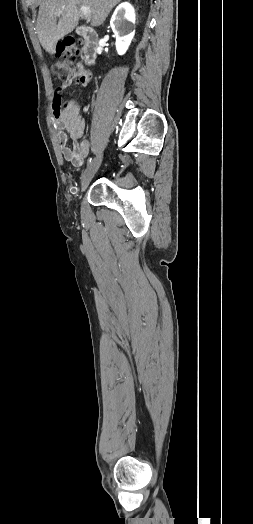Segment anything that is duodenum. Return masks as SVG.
<instances>
[{
	"mask_svg": "<svg viewBox=\"0 0 253 524\" xmlns=\"http://www.w3.org/2000/svg\"><path fill=\"white\" fill-rule=\"evenodd\" d=\"M78 33L84 39V62L87 65H92L97 57L99 48L98 34L90 27H81Z\"/></svg>",
	"mask_w": 253,
	"mask_h": 524,
	"instance_id": "obj_1",
	"label": "duodenum"
}]
</instances>
